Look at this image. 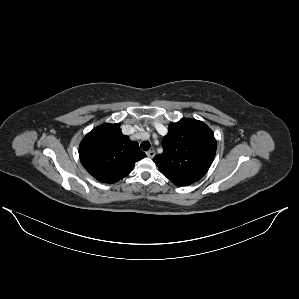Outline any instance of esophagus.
<instances>
[{
	"label": "esophagus",
	"instance_id": "obj_1",
	"mask_svg": "<svg viewBox=\"0 0 299 299\" xmlns=\"http://www.w3.org/2000/svg\"><path fill=\"white\" fill-rule=\"evenodd\" d=\"M146 154L149 158H153L155 156V151L152 149V150H149Z\"/></svg>",
	"mask_w": 299,
	"mask_h": 299
}]
</instances>
